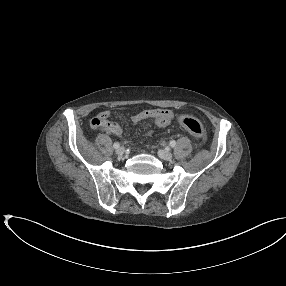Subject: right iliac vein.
I'll use <instances>...</instances> for the list:
<instances>
[{"instance_id": "1", "label": "right iliac vein", "mask_w": 286, "mask_h": 286, "mask_svg": "<svg viewBox=\"0 0 286 286\" xmlns=\"http://www.w3.org/2000/svg\"><path fill=\"white\" fill-rule=\"evenodd\" d=\"M125 153V149L123 147H119L116 149V154L122 156Z\"/></svg>"}]
</instances>
